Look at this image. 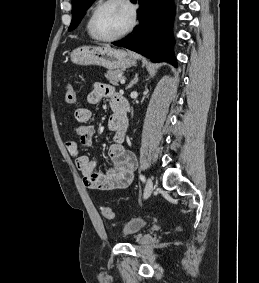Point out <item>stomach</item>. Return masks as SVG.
I'll return each instance as SVG.
<instances>
[{
  "mask_svg": "<svg viewBox=\"0 0 259 283\" xmlns=\"http://www.w3.org/2000/svg\"><path fill=\"white\" fill-rule=\"evenodd\" d=\"M70 57L78 65H98L110 70L129 68L136 63L131 52L110 46H82L75 49Z\"/></svg>",
  "mask_w": 259,
  "mask_h": 283,
  "instance_id": "0dacf381",
  "label": "stomach"
}]
</instances>
